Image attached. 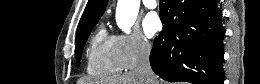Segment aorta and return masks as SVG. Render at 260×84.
Instances as JSON below:
<instances>
[{"label":"aorta","instance_id":"1","mask_svg":"<svg viewBox=\"0 0 260 84\" xmlns=\"http://www.w3.org/2000/svg\"><path fill=\"white\" fill-rule=\"evenodd\" d=\"M139 6L140 0H118L115 18L118 27L124 32H130L137 19Z\"/></svg>","mask_w":260,"mask_h":84}]
</instances>
